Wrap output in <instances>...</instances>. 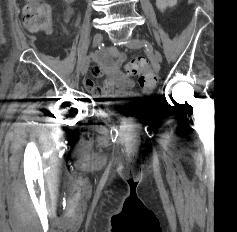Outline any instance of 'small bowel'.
Returning <instances> with one entry per match:
<instances>
[{"instance_id": "obj_1", "label": "small bowel", "mask_w": 237, "mask_h": 232, "mask_svg": "<svg viewBox=\"0 0 237 232\" xmlns=\"http://www.w3.org/2000/svg\"><path fill=\"white\" fill-rule=\"evenodd\" d=\"M94 59L96 65L92 68V75L106 77L101 87H97L92 78L84 80L85 88L94 97L116 99L129 93L133 82L122 72V66L126 61L124 53L116 47H110L108 50L96 54Z\"/></svg>"}]
</instances>
